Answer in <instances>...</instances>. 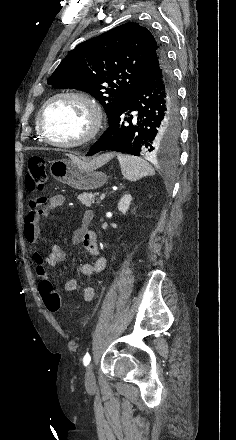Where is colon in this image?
Here are the masks:
<instances>
[{"mask_svg": "<svg viewBox=\"0 0 236 440\" xmlns=\"http://www.w3.org/2000/svg\"><path fill=\"white\" fill-rule=\"evenodd\" d=\"M47 181L46 164L41 157H32L28 162L26 174V187L30 191H40ZM40 292L45 307L51 312L63 309L60 295L48 281L40 283Z\"/></svg>", "mask_w": 236, "mask_h": 440, "instance_id": "colon-1", "label": "colon"}]
</instances>
